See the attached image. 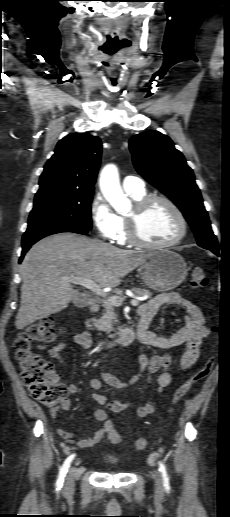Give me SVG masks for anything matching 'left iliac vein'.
<instances>
[{
  "mask_svg": "<svg viewBox=\"0 0 230 517\" xmlns=\"http://www.w3.org/2000/svg\"><path fill=\"white\" fill-rule=\"evenodd\" d=\"M153 479H154V487L155 491L158 495H162L163 493V486H162V480L161 476L158 471H155L153 473Z\"/></svg>",
  "mask_w": 230,
  "mask_h": 517,
  "instance_id": "4c4485c4",
  "label": "left iliac vein"
}]
</instances>
